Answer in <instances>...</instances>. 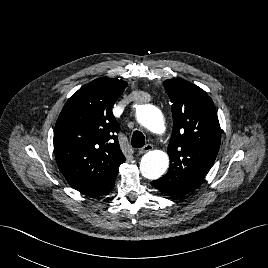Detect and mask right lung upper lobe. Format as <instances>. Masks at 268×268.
Returning <instances> with one entry per match:
<instances>
[{
  "label": "right lung upper lobe",
  "instance_id": "obj_1",
  "mask_svg": "<svg viewBox=\"0 0 268 268\" xmlns=\"http://www.w3.org/2000/svg\"><path fill=\"white\" fill-rule=\"evenodd\" d=\"M127 83L102 77L82 86L64 105L54 129V152L59 170L72 188L98 197L115 184L125 162L111 112Z\"/></svg>",
  "mask_w": 268,
  "mask_h": 268
}]
</instances>
